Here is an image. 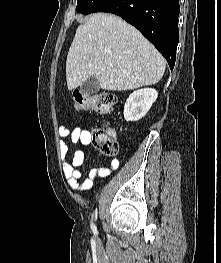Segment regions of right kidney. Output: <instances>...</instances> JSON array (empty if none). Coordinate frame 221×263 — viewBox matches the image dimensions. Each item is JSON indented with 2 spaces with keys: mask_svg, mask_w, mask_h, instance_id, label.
<instances>
[{
  "mask_svg": "<svg viewBox=\"0 0 221 263\" xmlns=\"http://www.w3.org/2000/svg\"><path fill=\"white\" fill-rule=\"evenodd\" d=\"M158 92L152 88H144L134 91L125 102L124 119L126 121H138L143 118L156 101Z\"/></svg>",
  "mask_w": 221,
  "mask_h": 263,
  "instance_id": "right-kidney-1",
  "label": "right kidney"
}]
</instances>
